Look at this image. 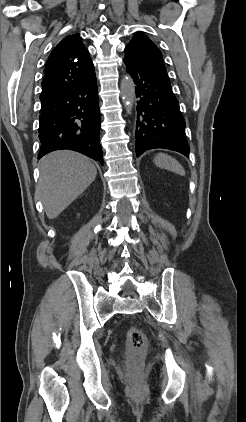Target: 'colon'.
Here are the masks:
<instances>
[{"label":"colon","mask_w":246,"mask_h":422,"mask_svg":"<svg viewBox=\"0 0 246 422\" xmlns=\"http://www.w3.org/2000/svg\"><path fill=\"white\" fill-rule=\"evenodd\" d=\"M147 350V338L143 331L131 327L127 333L126 353L130 365L136 366L143 359Z\"/></svg>","instance_id":"colon-1"}]
</instances>
